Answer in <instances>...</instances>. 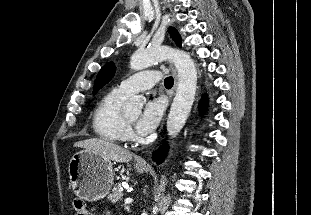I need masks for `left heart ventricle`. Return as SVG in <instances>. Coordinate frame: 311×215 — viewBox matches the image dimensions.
<instances>
[{
  "label": "left heart ventricle",
  "mask_w": 311,
  "mask_h": 215,
  "mask_svg": "<svg viewBox=\"0 0 311 215\" xmlns=\"http://www.w3.org/2000/svg\"><path fill=\"white\" fill-rule=\"evenodd\" d=\"M138 114L137 113H133V114H130V115H127V119L132 122L134 121L136 118H137Z\"/></svg>",
  "instance_id": "obj_1"
}]
</instances>
